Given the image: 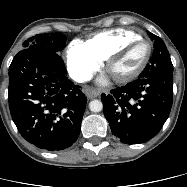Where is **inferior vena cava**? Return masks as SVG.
<instances>
[{
  "instance_id": "1",
  "label": "inferior vena cava",
  "mask_w": 187,
  "mask_h": 187,
  "mask_svg": "<svg viewBox=\"0 0 187 187\" xmlns=\"http://www.w3.org/2000/svg\"><path fill=\"white\" fill-rule=\"evenodd\" d=\"M70 77L78 83H83L91 79V75L89 73L81 72V71L72 72L70 74Z\"/></svg>"
}]
</instances>
